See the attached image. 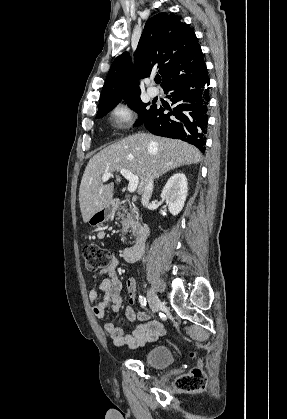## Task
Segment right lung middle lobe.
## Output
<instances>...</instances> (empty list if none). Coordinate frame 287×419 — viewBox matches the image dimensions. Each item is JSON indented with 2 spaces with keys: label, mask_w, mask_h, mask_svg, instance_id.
<instances>
[{
  "label": "right lung middle lobe",
  "mask_w": 287,
  "mask_h": 419,
  "mask_svg": "<svg viewBox=\"0 0 287 419\" xmlns=\"http://www.w3.org/2000/svg\"><path fill=\"white\" fill-rule=\"evenodd\" d=\"M118 103L119 102L99 108L96 118L103 117L104 115L109 113ZM127 103L130 108H132L139 114V118L135 124L136 126L143 124L155 109V105L147 107L149 104L143 103L140 97L127 99Z\"/></svg>",
  "instance_id": "1"
}]
</instances>
